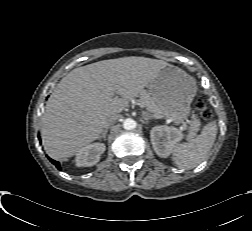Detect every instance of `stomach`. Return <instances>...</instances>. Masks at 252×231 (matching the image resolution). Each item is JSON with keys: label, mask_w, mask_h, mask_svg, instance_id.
Wrapping results in <instances>:
<instances>
[{"label": "stomach", "mask_w": 252, "mask_h": 231, "mask_svg": "<svg viewBox=\"0 0 252 231\" xmlns=\"http://www.w3.org/2000/svg\"><path fill=\"white\" fill-rule=\"evenodd\" d=\"M196 92L195 79L170 65L162 68L149 85V93L160 110L159 118H171L177 124L189 117Z\"/></svg>", "instance_id": "1"}]
</instances>
